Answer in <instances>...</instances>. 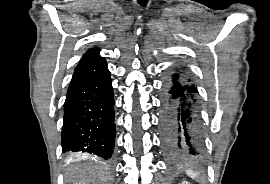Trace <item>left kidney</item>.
Returning a JSON list of instances; mask_svg holds the SVG:
<instances>
[{
    "instance_id": "5707ae66",
    "label": "left kidney",
    "mask_w": 270,
    "mask_h": 184,
    "mask_svg": "<svg viewBox=\"0 0 270 184\" xmlns=\"http://www.w3.org/2000/svg\"><path fill=\"white\" fill-rule=\"evenodd\" d=\"M182 184H188L187 182L185 183V182H183Z\"/></svg>"
}]
</instances>
